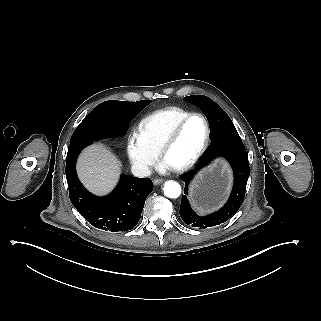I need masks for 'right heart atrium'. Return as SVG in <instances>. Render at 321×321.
Masks as SVG:
<instances>
[{
    "instance_id": "right-heart-atrium-1",
    "label": "right heart atrium",
    "mask_w": 321,
    "mask_h": 321,
    "mask_svg": "<svg viewBox=\"0 0 321 321\" xmlns=\"http://www.w3.org/2000/svg\"><path fill=\"white\" fill-rule=\"evenodd\" d=\"M127 153L132 166L142 176L151 174L159 158L158 152L137 131H134L128 138Z\"/></svg>"
}]
</instances>
